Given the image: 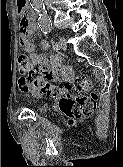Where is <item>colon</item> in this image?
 <instances>
[{
  "mask_svg": "<svg viewBox=\"0 0 123 167\" xmlns=\"http://www.w3.org/2000/svg\"><path fill=\"white\" fill-rule=\"evenodd\" d=\"M31 59L20 54L18 67L21 72H28V83L37 88L42 94L59 99L60 110L71 120H77L90 115L96 106L97 96L92 89V79L83 77L68 82H54L53 78L39 69L31 68Z\"/></svg>",
  "mask_w": 123,
  "mask_h": 167,
  "instance_id": "5ec220e1",
  "label": "colon"
}]
</instances>
